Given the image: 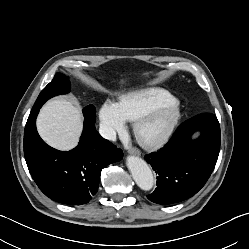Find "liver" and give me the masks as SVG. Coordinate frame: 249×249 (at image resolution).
<instances>
[{"label":"liver","mask_w":249,"mask_h":249,"mask_svg":"<svg viewBox=\"0 0 249 249\" xmlns=\"http://www.w3.org/2000/svg\"><path fill=\"white\" fill-rule=\"evenodd\" d=\"M82 128L81 108L64 97L49 100L37 118L39 135L58 150L68 151L77 146Z\"/></svg>","instance_id":"1"}]
</instances>
